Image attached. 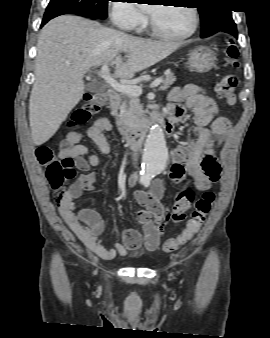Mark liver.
<instances>
[{
	"label": "liver",
	"instance_id": "liver-1",
	"mask_svg": "<svg viewBox=\"0 0 270 338\" xmlns=\"http://www.w3.org/2000/svg\"><path fill=\"white\" fill-rule=\"evenodd\" d=\"M182 44L141 39L78 16L63 15L40 31L36 80L29 100L35 145L47 142L84 93V75L109 64L119 78H133L176 51ZM127 54L123 61L121 54Z\"/></svg>",
	"mask_w": 270,
	"mask_h": 338
}]
</instances>
